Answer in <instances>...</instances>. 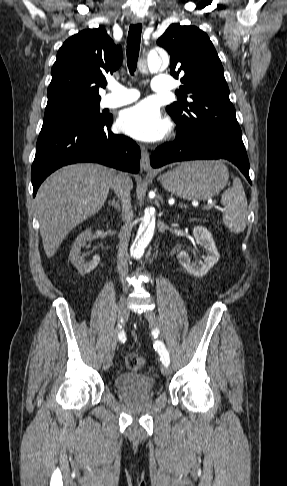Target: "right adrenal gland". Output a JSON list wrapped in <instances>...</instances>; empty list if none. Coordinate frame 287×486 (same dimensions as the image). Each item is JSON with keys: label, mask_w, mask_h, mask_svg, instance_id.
Segmentation results:
<instances>
[{"label": "right adrenal gland", "mask_w": 287, "mask_h": 486, "mask_svg": "<svg viewBox=\"0 0 287 486\" xmlns=\"http://www.w3.org/2000/svg\"><path fill=\"white\" fill-rule=\"evenodd\" d=\"M108 204L112 207H114L117 211L120 209V204H119V201L113 199L112 201H108Z\"/></svg>", "instance_id": "1"}]
</instances>
